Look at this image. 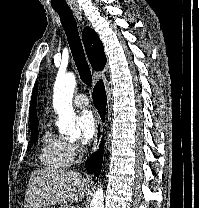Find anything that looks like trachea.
Instances as JSON below:
<instances>
[{
	"label": "trachea",
	"mask_w": 199,
	"mask_h": 208,
	"mask_svg": "<svg viewBox=\"0 0 199 208\" xmlns=\"http://www.w3.org/2000/svg\"><path fill=\"white\" fill-rule=\"evenodd\" d=\"M59 14L62 26L64 28L67 40L72 51V55L79 72L80 78L84 84L91 86L92 75L87 63L82 42L77 29V24L70 8L55 9Z\"/></svg>",
	"instance_id": "1"
}]
</instances>
